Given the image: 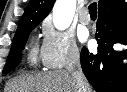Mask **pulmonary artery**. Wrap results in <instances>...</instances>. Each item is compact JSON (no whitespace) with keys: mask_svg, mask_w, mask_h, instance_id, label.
<instances>
[{"mask_svg":"<svg viewBox=\"0 0 127 92\" xmlns=\"http://www.w3.org/2000/svg\"><path fill=\"white\" fill-rule=\"evenodd\" d=\"M79 20L82 24L87 25L90 23V15L88 12V9L83 8L80 12H79Z\"/></svg>","mask_w":127,"mask_h":92,"instance_id":"pulmonary-artery-1","label":"pulmonary artery"}]
</instances>
